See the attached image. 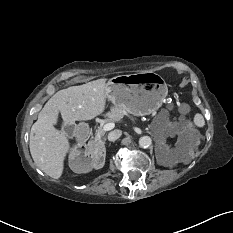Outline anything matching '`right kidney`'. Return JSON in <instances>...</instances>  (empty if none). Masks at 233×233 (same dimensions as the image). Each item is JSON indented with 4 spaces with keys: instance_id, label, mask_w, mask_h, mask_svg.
<instances>
[{
    "instance_id": "ca27d5eb",
    "label": "right kidney",
    "mask_w": 233,
    "mask_h": 233,
    "mask_svg": "<svg viewBox=\"0 0 233 233\" xmlns=\"http://www.w3.org/2000/svg\"><path fill=\"white\" fill-rule=\"evenodd\" d=\"M106 152L102 147H90L84 157L79 152H72L69 155V167L75 173H88L92 169H100L105 164Z\"/></svg>"
}]
</instances>
